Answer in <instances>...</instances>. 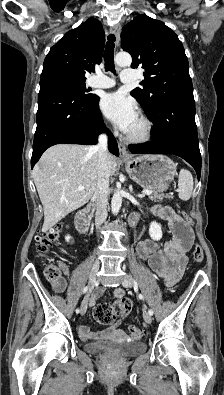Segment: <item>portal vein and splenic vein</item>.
<instances>
[{
    "mask_svg": "<svg viewBox=\"0 0 224 395\" xmlns=\"http://www.w3.org/2000/svg\"><path fill=\"white\" fill-rule=\"evenodd\" d=\"M84 189V187H82V186H79L78 187V190H83ZM142 194L143 195H151L152 194V191H150V190H143L142 191Z\"/></svg>",
    "mask_w": 224,
    "mask_h": 395,
    "instance_id": "1",
    "label": "portal vein and splenic vein"
}]
</instances>
